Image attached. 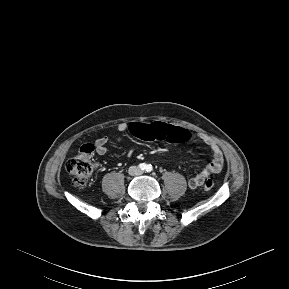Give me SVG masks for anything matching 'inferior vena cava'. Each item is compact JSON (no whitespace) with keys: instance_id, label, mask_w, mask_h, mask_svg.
<instances>
[{"instance_id":"obj_1","label":"inferior vena cava","mask_w":289,"mask_h":289,"mask_svg":"<svg viewBox=\"0 0 289 289\" xmlns=\"http://www.w3.org/2000/svg\"><path fill=\"white\" fill-rule=\"evenodd\" d=\"M142 173V171L138 168V167H130L129 168V174L131 175H140Z\"/></svg>"}]
</instances>
